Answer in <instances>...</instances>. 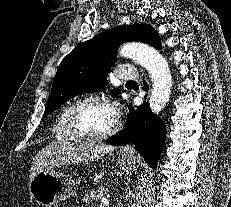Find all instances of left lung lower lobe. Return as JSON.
<instances>
[{
    "label": "left lung lower lobe",
    "mask_w": 231,
    "mask_h": 207,
    "mask_svg": "<svg viewBox=\"0 0 231 207\" xmlns=\"http://www.w3.org/2000/svg\"><path fill=\"white\" fill-rule=\"evenodd\" d=\"M148 88L145 83L144 89ZM129 108L125 129L106 142L112 145L134 143L150 167L155 169L165 142V124L151 113L148 103L140 105L137 109L131 106Z\"/></svg>",
    "instance_id": "0a47b994"
}]
</instances>
